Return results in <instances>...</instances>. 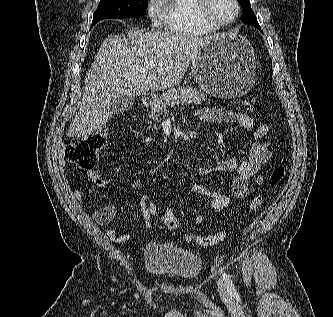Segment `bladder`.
<instances>
[{
  "instance_id": "1",
  "label": "bladder",
  "mask_w": 333,
  "mask_h": 317,
  "mask_svg": "<svg viewBox=\"0 0 333 317\" xmlns=\"http://www.w3.org/2000/svg\"><path fill=\"white\" fill-rule=\"evenodd\" d=\"M143 259L149 273L182 282L196 279L202 271L199 255L176 246L149 244L144 249Z\"/></svg>"
}]
</instances>
